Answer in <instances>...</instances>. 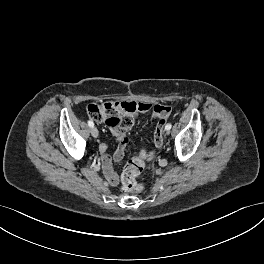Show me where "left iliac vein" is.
<instances>
[{"label": "left iliac vein", "mask_w": 264, "mask_h": 264, "mask_svg": "<svg viewBox=\"0 0 264 264\" xmlns=\"http://www.w3.org/2000/svg\"><path fill=\"white\" fill-rule=\"evenodd\" d=\"M170 133V131L169 130H166V134H169Z\"/></svg>", "instance_id": "left-iliac-vein-1"}]
</instances>
